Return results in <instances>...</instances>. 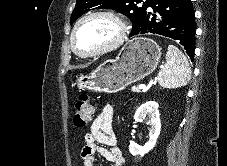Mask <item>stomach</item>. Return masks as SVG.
I'll list each match as a JSON object with an SVG mask.
<instances>
[{
  "label": "stomach",
  "instance_id": "stomach-1",
  "mask_svg": "<svg viewBox=\"0 0 227 166\" xmlns=\"http://www.w3.org/2000/svg\"><path fill=\"white\" fill-rule=\"evenodd\" d=\"M161 57V47L152 39L136 37L126 43L115 59L100 64L89 75L77 76L79 91L116 93L151 74Z\"/></svg>",
  "mask_w": 227,
  "mask_h": 166
}]
</instances>
